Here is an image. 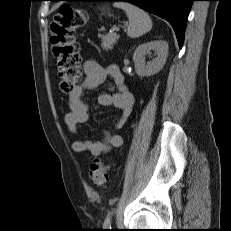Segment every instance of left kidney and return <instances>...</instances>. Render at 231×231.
<instances>
[{
	"label": "left kidney",
	"instance_id": "left-kidney-1",
	"mask_svg": "<svg viewBox=\"0 0 231 231\" xmlns=\"http://www.w3.org/2000/svg\"><path fill=\"white\" fill-rule=\"evenodd\" d=\"M151 50L157 52V57L145 63V55ZM168 56V43L163 40H156L139 45L134 54L133 61L136 73L139 76H151L158 73L164 66Z\"/></svg>",
	"mask_w": 231,
	"mask_h": 231
}]
</instances>
